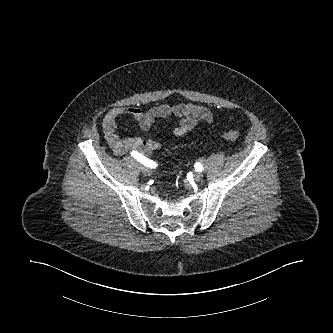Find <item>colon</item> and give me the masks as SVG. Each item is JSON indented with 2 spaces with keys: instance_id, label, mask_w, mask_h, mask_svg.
<instances>
[{
  "instance_id": "colon-1",
  "label": "colon",
  "mask_w": 333,
  "mask_h": 333,
  "mask_svg": "<svg viewBox=\"0 0 333 333\" xmlns=\"http://www.w3.org/2000/svg\"><path fill=\"white\" fill-rule=\"evenodd\" d=\"M223 137L229 141H236L239 139V133L235 130H226L223 132Z\"/></svg>"
}]
</instances>
